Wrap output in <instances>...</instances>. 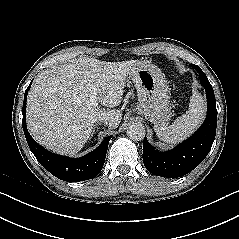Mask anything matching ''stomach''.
Returning <instances> with one entry per match:
<instances>
[{
    "label": "stomach",
    "mask_w": 239,
    "mask_h": 239,
    "mask_svg": "<svg viewBox=\"0 0 239 239\" xmlns=\"http://www.w3.org/2000/svg\"><path fill=\"white\" fill-rule=\"evenodd\" d=\"M128 75L137 90V113L154 126H166L171 117V104L168 85L160 69L149 62L140 61Z\"/></svg>",
    "instance_id": "stomach-1"
}]
</instances>
